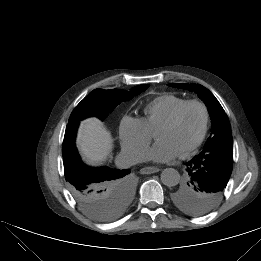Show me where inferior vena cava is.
I'll return each instance as SVG.
<instances>
[{
	"instance_id": "1",
	"label": "inferior vena cava",
	"mask_w": 261,
	"mask_h": 261,
	"mask_svg": "<svg viewBox=\"0 0 261 261\" xmlns=\"http://www.w3.org/2000/svg\"><path fill=\"white\" fill-rule=\"evenodd\" d=\"M144 161V155L136 150L121 149V152L116 157V165L119 168H128L137 163Z\"/></svg>"
}]
</instances>
